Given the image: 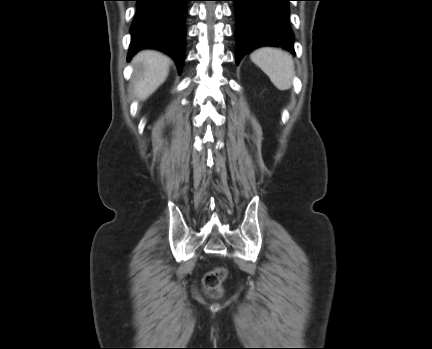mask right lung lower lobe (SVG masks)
<instances>
[{
	"mask_svg": "<svg viewBox=\"0 0 432 349\" xmlns=\"http://www.w3.org/2000/svg\"><path fill=\"white\" fill-rule=\"evenodd\" d=\"M128 61L140 49L154 48L170 55L181 73L185 58V17L189 0H135Z\"/></svg>",
	"mask_w": 432,
	"mask_h": 349,
	"instance_id": "obj_1",
	"label": "right lung lower lobe"
}]
</instances>
